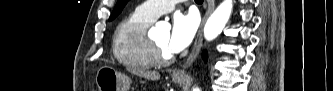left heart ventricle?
I'll return each instance as SVG.
<instances>
[{
  "mask_svg": "<svg viewBox=\"0 0 333 91\" xmlns=\"http://www.w3.org/2000/svg\"><path fill=\"white\" fill-rule=\"evenodd\" d=\"M169 32L168 31H162L156 34L152 40L166 53H170L167 48V42H168Z\"/></svg>",
  "mask_w": 333,
  "mask_h": 91,
  "instance_id": "b2bd125f",
  "label": "left heart ventricle"
}]
</instances>
